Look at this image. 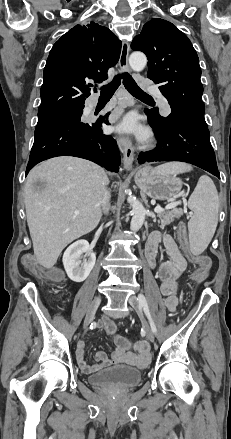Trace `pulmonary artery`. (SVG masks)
Here are the masks:
<instances>
[{
	"label": "pulmonary artery",
	"instance_id": "obj_1",
	"mask_svg": "<svg viewBox=\"0 0 231 439\" xmlns=\"http://www.w3.org/2000/svg\"><path fill=\"white\" fill-rule=\"evenodd\" d=\"M148 91L154 95H156L159 100H160V104L161 107L163 109L164 114L168 115L171 112L169 103L167 102V100L165 99V97L160 93V91L154 87V86H149L148 87Z\"/></svg>",
	"mask_w": 231,
	"mask_h": 439
}]
</instances>
